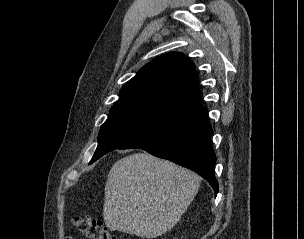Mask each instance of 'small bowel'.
Returning <instances> with one entry per match:
<instances>
[{"label": "small bowel", "instance_id": "obj_1", "mask_svg": "<svg viewBox=\"0 0 304 239\" xmlns=\"http://www.w3.org/2000/svg\"><path fill=\"white\" fill-rule=\"evenodd\" d=\"M66 239H75V238H73V237H68V238H66Z\"/></svg>", "mask_w": 304, "mask_h": 239}]
</instances>
